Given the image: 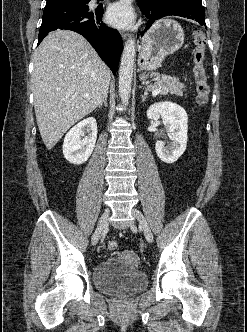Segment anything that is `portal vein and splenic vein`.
Listing matches in <instances>:
<instances>
[{"mask_svg":"<svg viewBox=\"0 0 247 332\" xmlns=\"http://www.w3.org/2000/svg\"><path fill=\"white\" fill-rule=\"evenodd\" d=\"M160 92H161L160 89H155L152 91V95L155 96V95L159 94Z\"/></svg>","mask_w":247,"mask_h":332,"instance_id":"portal-vein-and-splenic-vein-1","label":"portal vein and splenic vein"}]
</instances>
